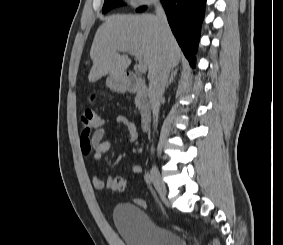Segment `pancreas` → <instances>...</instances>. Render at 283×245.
Listing matches in <instances>:
<instances>
[{
    "label": "pancreas",
    "instance_id": "1",
    "mask_svg": "<svg viewBox=\"0 0 283 245\" xmlns=\"http://www.w3.org/2000/svg\"><path fill=\"white\" fill-rule=\"evenodd\" d=\"M135 103H136V106H137L138 108H140V104H139L138 98H136Z\"/></svg>",
    "mask_w": 283,
    "mask_h": 245
}]
</instances>
